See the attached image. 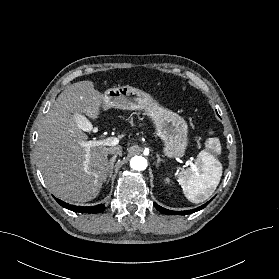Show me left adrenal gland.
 Masks as SVG:
<instances>
[{"mask_svg": "<svg viewBox=\"0 0 279 279\" xmlns=\"http://www.w3.org/2000/svg\"><path fill=\"white\" fill-rule=\"evenodd\" d=\"M156 157H157L156 167H159L160 163L164 162V160L160 158L159 154H156Z\"/></svg>", "mask_w": 279, "mask_h": 279, "instance_id": "a2214340", "label": "left adrenal gland"}]
</instances>
